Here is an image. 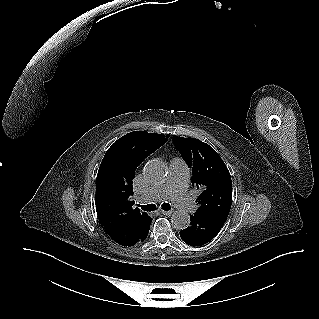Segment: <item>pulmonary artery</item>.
Here are the masks:
<instances>
[{
	"instance_id": "pulmonary-artery-1",
	"label": "pulmonary artery",
	"mask_w": 319,
	"mask_h": 319,
	"mask_svg": "<svg viewBox=\"0 0 319 319\" xmlns=\"http://www.w3.org/2000/svg\"><path fill=\"white\" fill-rule=\"evenodd\" d=\"M189 169L180 158L170 161V172L165 182L149 188L140 198L141 203L158 202L164 199L173 200L184 213H190L194 204L186 193L189 182Z\"/></svg>"
}]
</instances>
